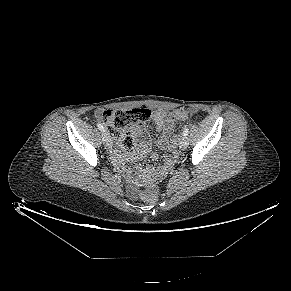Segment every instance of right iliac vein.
<instances>
[{
  "mask_svg": "<svg viewBox=\"0 0 291 291\" xmlns=\"http://www.w3.org/2000/svg\"><path fill=\"white\" fill-rule=\"evenodd\" d=\"M102 139H103V142H104L106 147H111L112 146V140H111V138H110L108 133L104 132L103 135H102Z\"/></svg>",
  "mask_w": 291,
  "mask_h": 291,
  "instance_id": "right-iliac-vein-1",
  "label": "right iliac vein"
}]
</instances>
